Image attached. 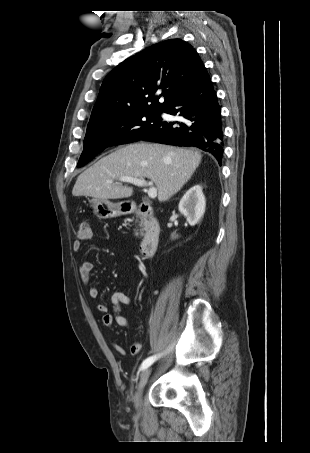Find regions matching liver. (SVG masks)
Instances as JSON below:
<instances>
[{
  "instance_id": "obj_1",
  "label": "liver",
  "mask_w": 310,
  "mask_h": 453,
  "mask_svg": "<svg viewBox=\"0 0 310 453\" xmlns=\"http://www.w3.org/2000/svg\"><path fill=\"white\" fill-rule=\"evenodd\" d=\"M201 158V154L192 149L143 142L130 144L82 172L72 195L106 200L128 198L133 193L132 187L119 182L107 183L128 176L150 179L158 191V200L165 202L191 178Z\"/></svg>"
}]
</instances>
